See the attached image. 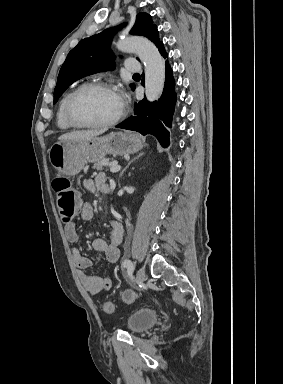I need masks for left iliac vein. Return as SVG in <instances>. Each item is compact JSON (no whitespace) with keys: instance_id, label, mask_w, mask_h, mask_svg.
I'll return each mask as SVG.
<instances>
[{"instance_id":"left-iliac-vein-1","label":"left iliac vein","mask_w":283,"mask_h":384,"mask_svg":"<svg viewBox=\"0 0 283 384\" xmlns=\"http://www.w3.org/2000/svg\"><path fill=\"white\" fill-rule=\"evenodd\" d=\"M145 271L143 269H139L136 274V281L138 285H142L145 281Z\"/></svg>"}]
</instances>
